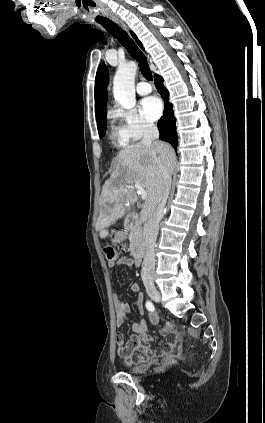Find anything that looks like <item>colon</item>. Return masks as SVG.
Listing matches in <instances>:
<instances>
[{"mask_svg":"<svg viewBox=\"0 0 265 423\" xmlns=\"http://www.w3.org/2000/svg\"><path fill=\"white\" fill-rule=\"evenodd\" d=\"M126 236L122 231H114L112 234V241L114 243H122L125 240ZM104 254L108 261H114L117 258V250L115 247L109 245L104 248ZM171 325H167L166 329H170Z\"/></svg>","mask_w":265,"mask_h":423,"instance_id":"obj_1","label":"colon"}]
</instances>
